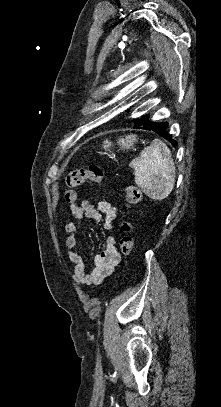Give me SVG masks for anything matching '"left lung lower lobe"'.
<instances>
[{
  "instance_id": "1",
  "label": "left lung lower lobe",
  "mask_w": 221,
  "mask_h": 407,
  "mask_svg": "<svg viewBox=\"0 0 221 407\" xmlns=\"http://www.w3.org/2000/svg\"><path fill=\"white\" fill-rule=\"evenodd\" d=\"M134 122H135L134 128L154 131L158 135H160L163 138L167 139L170 143H172L173 146H175L177 144V142L174 141L171 138V135H169L168 132H167V127H168L167 122H155V121H152L150 119L149 114L142 115L140 118L135 119Z\"/></svg>"
}]
</instances>
